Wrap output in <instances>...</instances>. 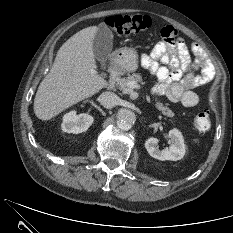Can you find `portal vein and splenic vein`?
<instances>
[{
    "label": "portal vein and splenic vein",
    "instance_id": "obj_1",
    "mask_svg": "<svg viewBox=\"0 0 233 233\" xmlns=\"http://www.w3.org/2000/svg\"><path fill=\"white\" fill-rule=\"evenodd\" d=\"M128 87L131 89H139L140 88L139 84H137L135 81H130L128 83Z\"/></svg>",
    "mask_w": 233,
    "mask_h": 233
}]
</instances>
